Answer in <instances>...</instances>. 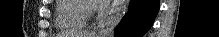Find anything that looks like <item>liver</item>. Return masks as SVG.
Masks as SVG:
<instances>
[{
  "instance_id": "obj_1",
  "label": "liver",
  "mask_w": 219,
  "mask_h": 37,
  "mask_svg": "<svg viewBox=\"0 0 219 37\" xmlns=\"http://www.w3.org/2000/svg\"><path fill=\"white\" fill-rule=\"evenodd\" d=\"M79 35H81L80 37H87V36H86L87 33H81V34H79Z\"/></svg>"
}]
</instances>
